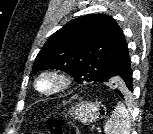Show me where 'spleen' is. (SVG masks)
<instances>
[{
    "mask_svg": "<svg viewBox=\"0 0 153 134\" xmlns=\"http://www.w3.org/2000/svg\"><path fill=\"white\" fill-rule=\"evenodd\" d=\"M130 114L124 104L118 103L104 126L105 134H130Z\"/></svg>",
    "mask_w": 153,
    "mask_h": 134,
    "instance_id": "spleen-1",
    "label": "spleen"
}]
</instances>
